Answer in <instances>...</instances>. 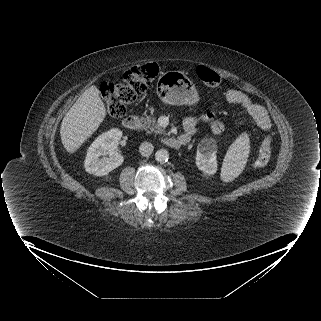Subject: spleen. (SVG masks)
<instances>
[{"instance_id":"3e777b00","label":"spleen","mask_w":321,"mask_h":321,"mask_svg":"<svg viewBox=\"0 0 321 321\" xmlns=\"http://www.w3.org/2000/svg\"><path fill=\"white\" fill-rule=\"evenodd\" d=\"M249 151V136L247 133H242L230 145L223 160L221 177L224 181H230L240 174L246 164Z\"/></svg>"}]
</instances>
